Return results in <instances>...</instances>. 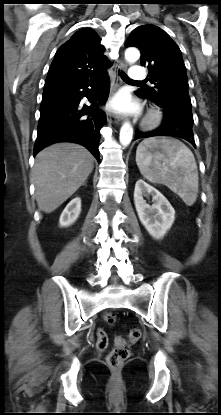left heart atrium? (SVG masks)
<instances>
[{"label":"left heart atrium","instance_id":"obj_1","mask_svg":"<svg viewBox=\"0 0 221 415\" xmlns=\"http://www.w3.org/2000/svg\"><path fill=\"white\" fill-rule=\"evenodd\" d=\"M110 107L119 113H131L136 112L138 107L132 102L131 98L127 93L118 94L110 104Z\"/></svg>","mask_w":221,"mask_h":415}]
</instances>
